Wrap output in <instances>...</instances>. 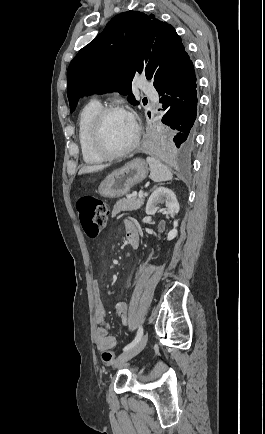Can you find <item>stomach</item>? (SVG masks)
I'll return each mask as SVG.
<instances>
[{
	"mask_svg": "<svg viewBox=\"0 0 265 434\" xmlns=\"http://www.w3.org/2000/svg\"><path fill=\"white\" fill-rule=\"evenodd\" d=\"M148 166L143 158H135L127 162L120 170H115L101 182L98 192L104 198H121L129 192L132 186H136L145 180L148 174Z\"/></svg>",
	"mask_w": 265,
	"mask_h": 434,
	"instance_id": "0dacf381",
	"label": "stomach"
}]
</instances>
